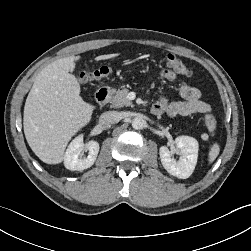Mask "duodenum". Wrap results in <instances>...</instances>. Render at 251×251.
Wrapping results in <instances>:
<instances>
[{"label":"duodenum","instance_id":"obj_1","mask_svg":"<svg viewBox=\"0 0 251 251\" xmlns=\"http://www.w3.org/2000/svg\"><path fill=\"white\" fill-rule=\"evenodd\" d=\"M110 90V86H104L96 92L95 99L99 106H104L107 103L109 99ZM151 113L157 114V109L154 105L151 107Z\"/></svg>","mask_w":251,"mask_h":251}]
</instances>
